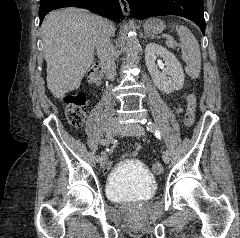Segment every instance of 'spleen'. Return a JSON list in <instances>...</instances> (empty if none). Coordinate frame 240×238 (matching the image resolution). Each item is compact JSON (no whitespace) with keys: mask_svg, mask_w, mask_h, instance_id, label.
I'll return each mask as SVG.
<instances>
[{"mask_svg":"<svg viewBox=\"0 0 240 238\" xmlns=\"http://www.w3.org/2000/svg\"><path fill=\"white\" fill-rule=\"evenodd\" d=\"M175 29L180 37L182 56L187 63L185 71L189 77L196 79L201 70V53L198 41L187 27L175 25Z\"/></svg>","mask_w":240,"mask_h":238,"instance_id":"obj_1","label":"spleen"}]
</instances>
